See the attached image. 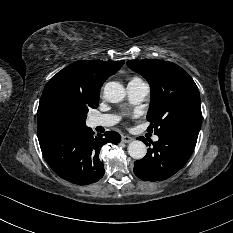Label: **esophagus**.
<instances>
[{"instance_id": "34e87169", "label": "esophagus", "mask_w": 233, "mask_h": 233, "mask_svg": "<svg viewBox=\"0 0 233 233\" xmlns=\"http://www.w3.org/2000/svg\"><path fill=\"white\" fill-rule=\"evenodd\" d=\"M121 139H122V142H124V143H130L133 141V138L131 136H128V135H123Z\"/></svg>"}]
</instances>
